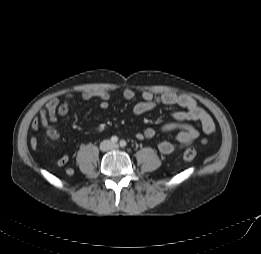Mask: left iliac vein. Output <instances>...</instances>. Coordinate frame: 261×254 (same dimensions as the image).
<instances>
[{
	"label": "left iliac vein",
	"instance_id": "left-iliac-vein-1",
	"mask_svg": "<svg viewBox=\"0 0 261 254\" xmlns=\"http://www.w3.org/2000/svg\"><path fill=\"white\" fill-rule=\"evenodd\" d=\"M118 148V145L117 144H112L111 145V149H117Z\"/></svg>",
	"mask_w": 261,
	"mask_h": 254
}]
</instances>
